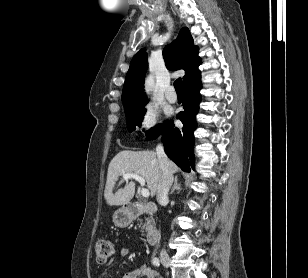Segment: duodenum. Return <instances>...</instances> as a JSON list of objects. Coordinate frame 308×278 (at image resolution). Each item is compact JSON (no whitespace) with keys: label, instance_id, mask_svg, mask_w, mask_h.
I'll return each mask as SVG.
<instances>
[{"label":"duodenum","instance_id":"1","mask_svg":"<svg viewBox=\"0 0 308 278\" xmlns=\"http://www.w3.org/2000/svg\"><path fill=\"white\" fill-rule=\"evenodd\" d=\"M124 212L127 219L133 220L142 213L154 214L156 212V207L153 204H139L135 202H130L125 205ZM159 238V230L156 227H151L147 233L148 243L153 245L157 243Z\"/></svg>","mask_w":308,"mask_h":278}]
</instances>
